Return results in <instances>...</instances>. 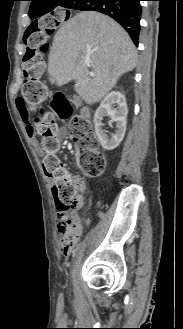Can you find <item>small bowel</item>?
Segmentation results:
<instances>
[{
	"label": "small bowel",
	"mask_w": 183,
	"mask_h": 329,
	"mask_svg": "<svg viewBox=\"0 0 183 329\" xmlns=\"http://www.w3.org/2000/svg\"><path fill=\"white\" fill-rule=\"evenodd\" d=\"M20 117H21L22 121L24 122V124L26 126L27 133L30 136V138L32 139L33 144L35 146H37V141L35 139V134L33 133L32 126H31L32 119H31L30 114H20ZM64 134H65V130L62 129L60 131V134H59L60 138H63L64 137ZM70 176L78 184V201H79L78 208H80L83 205V202H84L83 192H84L86 186H85L84 181L80 177L75 176V175H70ZM58 219H59V224H58V230H59V232L63 233L61 221L67 219V220H70L73 224H75L79 228V235H80V232H81L84 224L81 222V219H80V217H79V215H78V213L76 211H72L71 213L65 214L62 217H59L58 216ZM77 239H78V237H77ZM77 239H76V241H77ZM73 245L68 244L66 242V238L63 239V241H62V243L60 245V251H61V253L63 255H65V256L69 255V253L71 252V250L73 248Z\"/></svg>",
	"instance_id": "small-bowel-1"
}]
</instances>
